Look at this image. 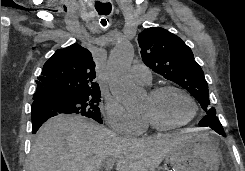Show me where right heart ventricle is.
I'll use <instances>...</instances> for the list:
<instances>
[{
	"label": "right heart ventricle",
	"mask_w": 245,
	"mask_h": 171,
	"mask_svg": "<svg viewBox=\"0 0 245 171\" xmlns=\"http://www.w3.org/2000/svg\"><path fill=\"white\" fill-rule=\"evenodd\" d=\"M145 119V123H146V126H147V124H148V120L146 119V118H144Z\"/></svg>",
	"instance_id": "e07e8e85"
}]
</instances>
